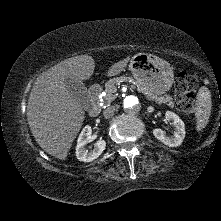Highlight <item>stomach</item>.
<instances>
[{
	"label": "stomach",
	"instance_id": "1",
	"mask_svg": "<svg viewBox=\"0 0 221 221\" xmlns=\"http://www.w3.org/2000/svg\"><path fill=\"white\" fill-rule=\"evenodd\" d=\"M129 70L139 85L155 95L166 93L173 84L174 74L170 64L152 54H135Z\"/></svg>",
	"mask_w": 221,
	"mask_h": 221
}]
</instances>
